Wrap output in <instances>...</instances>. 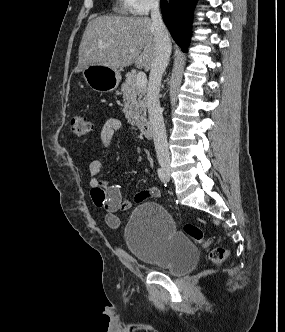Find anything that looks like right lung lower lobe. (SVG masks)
<instances>
[{"label":"right lung lower lobe","mask_w":285,"mask_h":332,"mask_svg":"<svg viewBox=\"0 0 285 332\" xmlns=\"http://www.w3.org/2000/svg\"><path fill=\"white\" fill-rule=\"evenodd\" d=\"M197 0H161V11L173 39L187 52L191 36L192 13Z\"/></svg>","instance_id":"98d812e1"}]
</instances>
